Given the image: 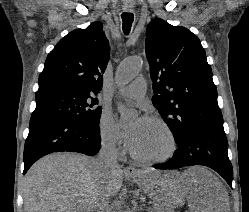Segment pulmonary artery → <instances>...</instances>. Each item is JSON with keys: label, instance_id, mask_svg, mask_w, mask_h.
<instances>
[{"label": "pulmonary artery", "instance_id": "pulmonary-artery-1", "mask_svg": "<svg viewBox=\"0 0 249 212\" xmlns=\"http://www.w3.org/2000/svg\"><path fill=\"white\" fill-rule=\"evenodd\" d=\"M147 91V81L144 77L136 78L132 83L122 87L119 90L120 95L130 98L139 100L144 98Z\"/></svg>", "mask_w": 249, "mask_h": 212}]
</instances>
